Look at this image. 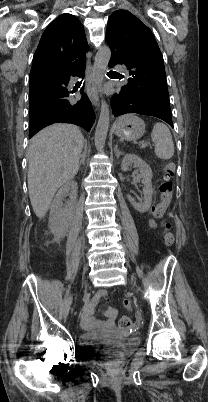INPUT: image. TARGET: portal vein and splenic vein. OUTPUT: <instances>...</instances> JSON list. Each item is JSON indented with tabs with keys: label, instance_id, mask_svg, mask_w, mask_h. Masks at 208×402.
<instances>
[{
	"label": "portal vein and splenic vein",
	"instance_id": "portal-vein-and-splenic-vein-1",
	"mask_svg": "<svg viewBox=\"0 0 208 402\" xmlns=\"http://www.w3.org/2000/svg\"><path fill=\"white\" fill-rule=\"evenodd\" d=\"M141 144H142V148H143V149H146V148H147V145L145 144V142H141Z\"/></svg>",
	"mask_w": 208,
	"mask_h": 402
}]
</instances>
